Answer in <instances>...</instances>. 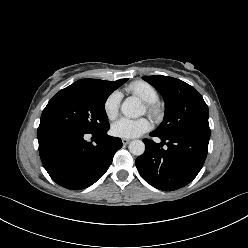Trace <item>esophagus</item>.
I'll use <instances>...</instances> for the list:
<instances>
[{"label":"esophagus","instance_id":"34e87169","mask_svg":"<svg viewBox=\"0 0 248 248\" xmlns=\"http://www.w3.org/2000/svg\"><path fill=\"white\" fill-rule=\"evenodd\" d=\"M130 141H131L130 139H126V138H123V139H122V143H123L124 145H127Z\"/></svg>","mask_w":248,"mask_h":248}]
</instances>
